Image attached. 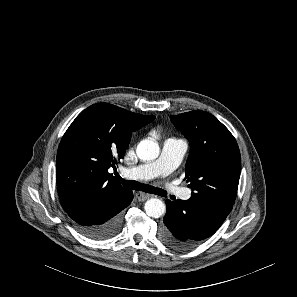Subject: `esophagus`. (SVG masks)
<instances>
[{"label":"esophagus","mask_w":297,"mask_h":297,"mask_svg":"<svg viewBox=\"0 0 297 297\" xmlns=\"http://www.w3.org/2000/svg\"><path fill=\"white\" fill-rule=\"evenodd\" d=\"M135 196H136V199H137L138 201H145V200H147V199L153 197L152 194H148V193H145V192H142V191L137 192V193L135 194Z\"/></svg>","instance_id":"1"}]
</instances>
